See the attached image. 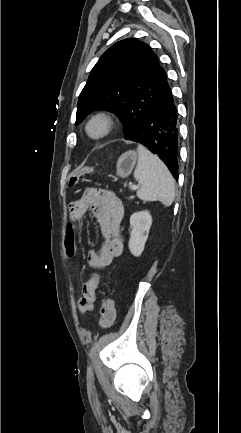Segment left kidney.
Listing matches in <instances>:
<instances>
[{
    "mask_svg": "<svg viewBox=\"0 0 241 433\" xmlns=\"http://www.w3.org/2000/svg\"><path fill=\"white\" fill-rule=\"evenodd\" d=\"M151 225L152 217L148 211H140L131 215L128 247L133 256L139 257L142 254Z\"/></svg>",
    "mask_w": 241,
    "mask_h": 433,
    "instance_id": "left-kidney-1",
    "label": "left kidney"
}]
</instances>
